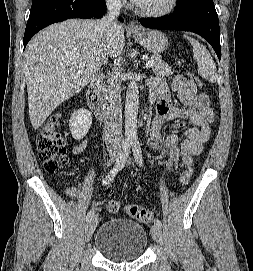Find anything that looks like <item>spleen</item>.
<instances>
[{
	"mask_svg": "<svg viewBox=\"0 0 253 271\" xmlns=\"http://www.w3.org/2000/svg\"><path fill=\"white\" fill-rule=\"evenodd\" d=\"M185 37L193 47V58L198 65V74L202 78L214 83L217 80L216 65L209 51L197 40L188 36Z\"/></svg>",
	"mask_w": 253,
	"mask_h": 271,
	"instance_id": "spleen-1",
	"label": "spleen"
}]
</instances>
